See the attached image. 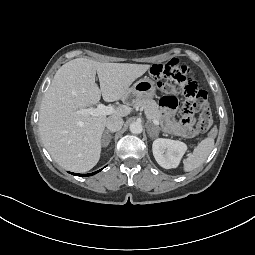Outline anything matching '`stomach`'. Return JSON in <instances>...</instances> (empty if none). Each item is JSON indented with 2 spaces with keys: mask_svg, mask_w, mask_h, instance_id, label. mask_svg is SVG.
Instances as JSON below:
<instances>
[{
  "mask_svg": "<svg viewBox=\"0 0 255 255\" xmlns=\"http://www.w3.org/2000/svg\"><path fill=\"white\" fill-rule=\"evenodd\" d=\"M155 94V83L148 77L140 79L129 89V97H133L138 100L151 99L155 96Z\"/></svg>",
  "mask_w": 255,
  "mask_h": 255,
  "instance_id": "0dacf381",
  "label": "stomach"
}]
</instances>
